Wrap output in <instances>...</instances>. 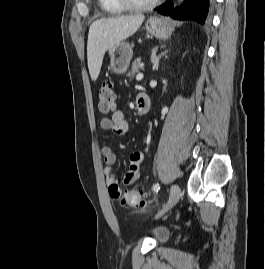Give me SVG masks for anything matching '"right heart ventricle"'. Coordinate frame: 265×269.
Wrapping results in <instances>:
<instances>
[{
  "label": "right heart ventricle",
  "instance_id": "right-heart-ventricle-1",
  "mask_svg": "<svg viewBox=\"0 0 265 269\" xmlns=\"http://www.w3.org/2000/svg\"><path fill=\"white\" fill-rule=\"evenodd\" d=\"M101 9L107 13L119 14L126 10L117 0H98Z\"/></svg>",
  "mask_w": 265,
  "mask_h": 269
}]
</instances>
